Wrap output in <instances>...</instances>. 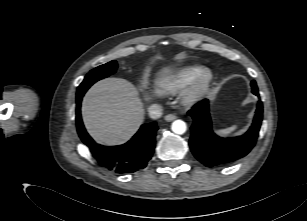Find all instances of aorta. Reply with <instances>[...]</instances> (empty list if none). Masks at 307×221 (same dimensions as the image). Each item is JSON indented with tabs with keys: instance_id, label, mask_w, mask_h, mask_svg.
Instances as JSON below:
<instances>
[{
	"instance_id": "762f6f07",
	"label": "aorta",
	"mask_w": 307,
	"mask_h": 221,
	"mask_svg": "<svg viewBox=\"0 0 307 221\" xmlns=\"http://www.w3.org/2000/svg\"><path fill=\"white\" fill-rule=\"evenodd\" d=\"M171 129L176 134H183L186 132L187 126L184 121L175 120L171 125Z\"/></svg>"
}]
</instances>
